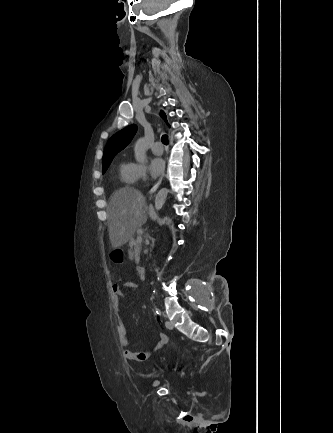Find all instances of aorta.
I'll return each mask as SVG.
<instances>
[{
    "label": "aorta",
    "mask_w": 333,
    "mask_h": 433,
    "mask_svg": "<svg viewBox=\"0 0 333 433\" xmlns=\"http://www.w3.org/2000/svg\"><path fill=\"white\" fill-rule=\"evenodd\" d=\"M135 158L138 162L144 163L146 159V147L143 139H138L134 146ZM168 195V189L162 188L158 191L155 198V210L159 211L165 204Z\"/></svg>",
    "instance_id": "762f6f07"
}]
</instances>
